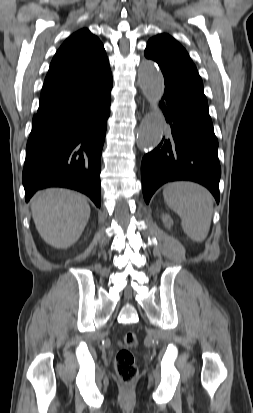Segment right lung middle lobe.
<instances>
[{
    "mask_svg": "<svg viewBox=\"0 0 253 413\" xmlns=\"http://www.w3.org/2000/svg\"><path fill=\"white\" fill-rule=\"evenodd\" d=\"M42 118H33V123L40 121Z\"/></svg>",
    "mask_w": 253,
    "mask_h": 413,
    "instance_id": "obj_1",
    "label": "right lung middle lobe"
}]
</instances>
